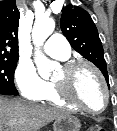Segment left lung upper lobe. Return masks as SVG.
<instances>
[{
    "label": "left lung upper lobe",
    "mask_w": 117,
    "mask_h": 131,
    "mask_svg": "<svg viewBox=\"0 0 117 131\" xmlns=\"http://www.w3.org/2000/svg\"><path fill=\"white\" fill-rule=\"evenodd\" d=\"M60 26L73 49L95 64L109 85L102 43L89 13L80 7L68 5L62 12Z\"/></svg>",
    "instance_id": "1"
}]
</instances>
